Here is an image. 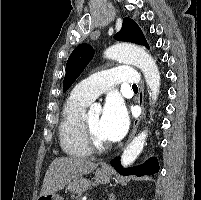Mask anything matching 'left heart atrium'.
<instances>
[{"mask_svg": "<svg viewBox=\"0 0 201 200\" xmlns=\"http://www.w3.org/2000/svg\"><path fill=\"white\" fill-rule=\"evenodd\" d=\"M129 116L119 99H109L101 116V132L108 142H117L127 133Z\"/></svg>", "mask_w": 201, "mask_h": 200, "instance_id": "39dd6f15", "label": "left heart atrium"}]
</instances>
